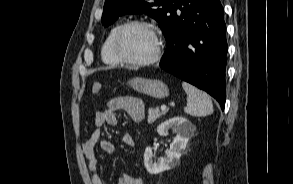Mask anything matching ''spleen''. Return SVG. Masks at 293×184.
I'll use <instances>...</instances> for the list:
<instances>
[{"instance_id": "1", "label": "spleen", "mask_w": 293, "mask_h": 184, "mask_svg": "<svg viewBox=\"0 0 293 184\" xmlns=\"http://www.w3.org/2000/svg\"><path fill=\"white\" fill-rule=\"evenodd\" d=\"M182 87L187 93L185 113L191 116H207L213 113V104L209 95L193 85L183 82Z\"/></svg>"}]
</instances>
